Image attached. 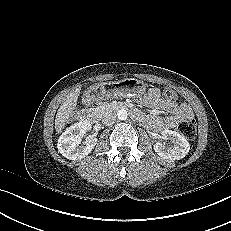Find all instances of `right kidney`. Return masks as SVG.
Returning a JSON list of instances; mask_svg holds the SVG:
<instances>
[{
  "instance_id": "1",
  "label": "right kidney",
  "mask_w": 231,
  "mask_h": 231,
  "mask_svg": "<svg viewBox=\"0 0 231 231\" xmlns=\"http://www.w3.org/2000/svg\"><path fill=\"white\" fill-rule=\"evenodd\" d=\"M90 125V122L83 120L68 127L58 139V152L70 160H79L87 156L98 141L97 138L89 136L81 143Z\"/></svg>"
}]
</instances>
